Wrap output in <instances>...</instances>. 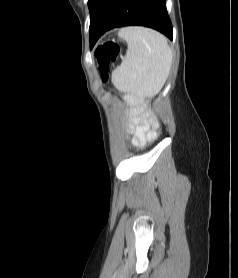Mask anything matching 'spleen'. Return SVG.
I'll return each mask as SVG.
<instances>
[{
	"instance_id": "3e777b00",
	"label": "spleen",
	"mask_w": 238,
	"mask_h": 278,
	"mask_svg": "<svg viewBox=\"0 0 238 278\" xmlns=\"http://www.w3.org/2000/svg\"><path fill=\"white\" fill-rule=\"evenodd\" d=\"M119 37L127 42L124 60L112 72L115 87L127 93L153 95L164 86L172 64V51L161 33L145 27H125Z\"/></svg>"
}]
</instances>
